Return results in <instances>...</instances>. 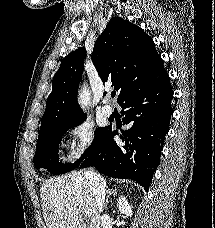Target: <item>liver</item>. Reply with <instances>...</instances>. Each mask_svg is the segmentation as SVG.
Returning <instances> with one entry per match:
<instances>
[{
    "mask_svg": "<svg viewBox=\"0 0 215 228\" xmlns=\"http://www.w3.org/2000/svg\"><path fill=\"white\" fill-rule=\"evenodd\" d=\"M40 198L47 228H101V216L85 174L70 172L46 180ZM89 214H85V212ZM88 218V220H87Z\"/></svg>",
    "mask_w": 215,
    "mask_h": 228,
    "instance_id": "6515ba94",
    "label": "liver"
}]
</instances>
